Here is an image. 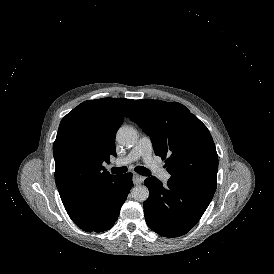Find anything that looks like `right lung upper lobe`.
Segmentation results:
<instances>
[{"instance_id": "cb5924a9", "label": "right lung upper lobe", "mask_w": 274, "mask_h": 274, "mask_svg": "<svg viewBox=\"0 0 274 274\" xmlns=\"http://www.w3.org/2000/svg\"><path fill=\"white\" fill-rule=\"evenodd\" d=\"M133 102L102 98L81 103L61 121L53 145L55 182L65 207L72 205L111 175L103 162L115 153L116 132Z\"/></svg>"}]
</instances>
